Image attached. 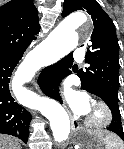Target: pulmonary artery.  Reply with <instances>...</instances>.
Wrapping results in <instances>:
<instances>
[{
  "mask_svg": "<svg viewBox=\"0 0 124 149\" xmlns=\"http://www.w3.org/2000/svg\"><path fill=\"white\" fill-rule=\"evenodd\" d=\"M73 56L76 60H80V61L83 60V58H84V49L82 47L77 48L74 51Z\"/></svg>",
  "mask_w": 124,
  "mask_h": 149,
  "instance_id": "1",
  "label": "pulmonary artery"
}]
</instances>
